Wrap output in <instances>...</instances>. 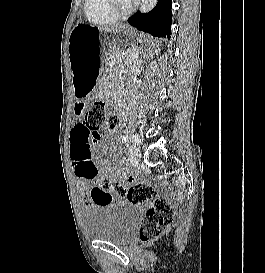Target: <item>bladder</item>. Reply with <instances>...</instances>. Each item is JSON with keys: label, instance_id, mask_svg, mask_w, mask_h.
Returning a JSON list of instances; mask_svg holds the SVG:
<instances>
[{"label": "bladder", "instance_id": "bladder-1", "mask_svg": "<svg viewBox=\"0 0 265 273\" xmlns=\"http://www.w3.org/2000/svg\"><path fill=\"white\" fill-rule=\"evenodd\" d=\"M137 223L138 209L124 203L96 206L82 216L88 239L113 244L128 242L135 233Z\"/></svg>", "mask_w": 265, "mask_h": 273}]
</instances>
